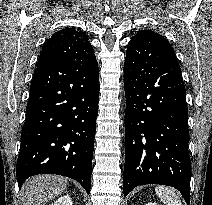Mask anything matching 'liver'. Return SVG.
Returning a JSON list of instances; mask_svg holds the SVG:
<instances>
[{"mask_svg":"<svg viewBox=\"0 0 212 205\" xmlns=\"http://www.w3.org/2000/svg\"><path fill=\"white\" fill-rule=\"evenodd\" d=\"M67 178L55 175H38L29 178L22 186L24 205H45L59 196L67 187Z\"/></svg>","mask_w":212,"mask_h":205,"instance_id":"liver-1","label":"liver"}]
</instances>
